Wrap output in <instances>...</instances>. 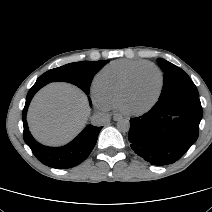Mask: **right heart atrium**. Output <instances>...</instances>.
Returning <instances> with one entry per match:
<instances>
[{"mask_svg": "<svg viewBox=\"0 0 212 212\" xmlns=\"http://www.w3.org/2000/svg\"><path fill=\"white\" fill-rule=\"evenodd\" d=\"M96 100H97L98 104H99L101 107H106V106L101 102V100L99 99L98 96H96Z\"/></svg>", "mask_w": 212, "mask_h": 212, "instance_id": "d8ad5b80", "label": "right heart atrium"}]
</instances>
